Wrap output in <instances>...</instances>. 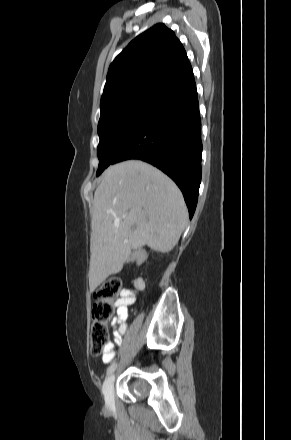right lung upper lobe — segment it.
<instances>
[{"instance_id":"1","label":"right lung upper lobe","mask_w":291,"mask_h":440,"mask_svg":"<svg viewBox=\"0 0 291 440\" xmlns=\"http://www.w3.org/2000/svg\"><path fill=\"white\" fill-rule=\"evenodd\" d=\"M192 73L174 32L159 23L140 34L111 63L100 106L138 96L156 97Z\"/></svg>"}]
</instances>
